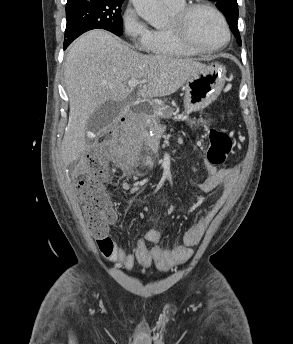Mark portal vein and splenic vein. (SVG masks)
<instances>
[{"label": "portal vein and splenic vein", "instance_id": "18ae733b", "mask_svg": "<svg viewBox=\"0 0 293 344\" xmlns=\"http://www.w3.org/2000/svg\"><path fill=\"white\" fill-rule=\"evenodd\" d=\"M142 83H144V81H139V80H136V79H130V80L128 81L127 85H128L129 87H136L137 85H140V84H142Z\"/></svg>", "mask_w": 293, "mask_h": 344}]
</instances>
